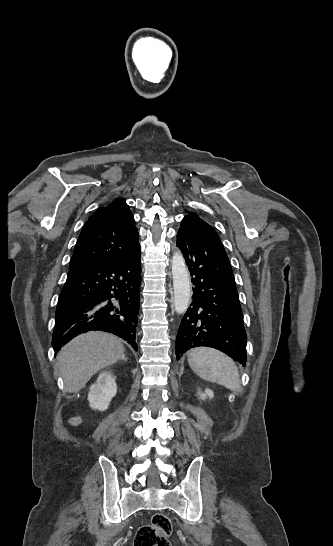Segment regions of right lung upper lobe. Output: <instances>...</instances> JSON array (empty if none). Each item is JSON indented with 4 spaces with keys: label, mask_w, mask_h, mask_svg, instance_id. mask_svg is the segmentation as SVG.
<instances>
[{
    "label": "right lung upper lobe",
    "mask_w": 333,
    "mask_h": 546,
    "mask_svg": "<svg viewBox=\"0 0 333 546\" xmlns=\"http://www.w3.org/2000/svg\"><path fill=\"white\" fill-rule=\"evenodd\" d=\"M125 200L115 199L98 209L84 224L69 269L109 263L129 255L138 246V231Z\"/></svg>",
    "instance_id": "1"
}]
</instances>
